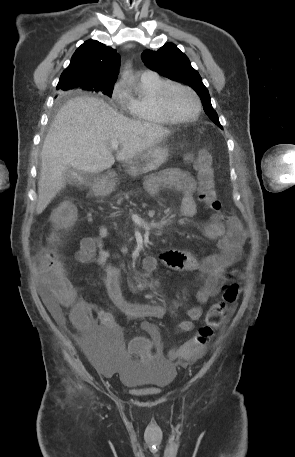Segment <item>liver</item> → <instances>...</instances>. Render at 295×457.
<instances>
[{"mask_svg":"<svg viewBox=\"0 0 295 457\" xmlns=\"http://www.w3.org/2000/svg\"><path fill=\"white\" fill-rule=\"evenodd\" d=\"M170 133L154 123L131 120L95 97L69 100L58 111L44 140L36 213L41 214L64 187L63 174L68 167L99 173L115 163L113 141L121 146L116 160L127 162Z\"/></svg>","mask_w":295,"mask_h":457,"instance_id":"liver-1","label":"liver"}]
</instances>
